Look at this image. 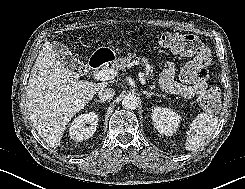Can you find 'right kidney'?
<instances>
[{"label": "right kidney", "mask_w": 245, "mask_h": 189, "mask_svg": "<svg viewBox=\"0 0 245 189\" xmlns=\"http://www.w3.org/2000/svg\"><path fill=\"white\" fill-rule=\"evenodd\" d=\"M97 125L98 115L96 113L81 114L72 121L69 127L70 138L74 141L86 140L93 136Z\"/></svg>", "instance_id": "1"}]
</instances>
